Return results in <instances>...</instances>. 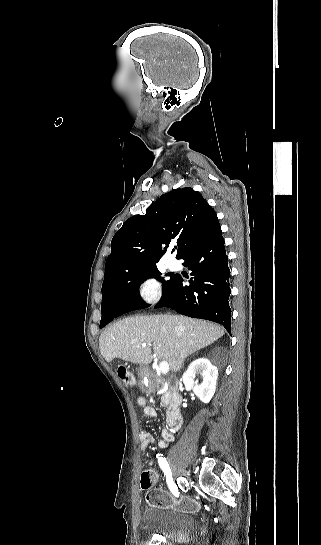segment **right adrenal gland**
<instances>
[{"label": "right adrenal gland", "mask_w": 321, "mask_h": 545, "mask_svg": "<svg viewBox=\"0 0 321 545\" xmlns=\"http://www.w3.org/2000/svg\"><path fill=\"white\" fill-rule=\"evenodd\" d=\"M184 361H185V359H184ZM184 361H182L181 365H183Z\"/></svg>", "instance_id": "2a0ac1e0"}]
</instances>
